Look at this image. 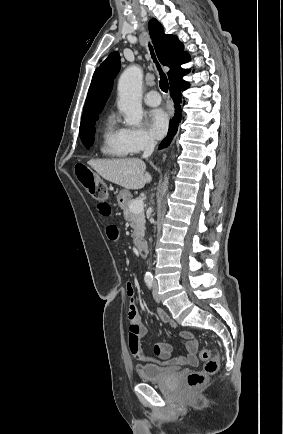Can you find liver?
<instances>
[{
    "mask_svg": "<svg viewBox=\"0 0 283 434\" xmlns=\"http://www.w3.org/2000/svg\"><path fill=\"white\" fill-rule=\"evenodd\" d=\"M87 164L107 181L125 189H142L152 181V176L146 172V164L138 158L91 159Z\"/></svg>",
    "mask_w": 283,
    "mask_h": 434,
    "instance_id": "obj_1",
    "label": "liver"
}]
</instances>
